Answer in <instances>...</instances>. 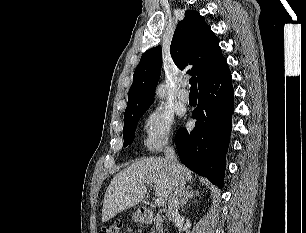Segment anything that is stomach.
<instances>
[{"label":"stomach","instance_id":"1","mask_svg":"<svg viewBox=\"0 0 306 233\" xmlns=\"http://www.w3.org/2000/svg\"><path fill=\"white\" fill-rule=\"evenodd\" d=\"M132 217L135 222H140L142 220V216L138 211L135 212Z\"/></svg>","mask_w":306,"mask_h":233}]
</instances>
